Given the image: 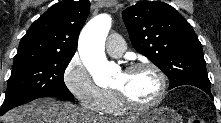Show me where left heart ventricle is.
Wrapping results in <instances>:
<instances>
[{"instance_id": "b2bd125f", "label": "left heart ventricle", "mask_w": 221, "mask_h": 123, "mask_svg": "<svg viewBox=\"0 0 221 123\" xmlns=\"http://www.w3.org/2000/svg\"><path fill=\"white\" fill-rule=\"evenodd\" d=\"M124 91L136 103L146 104L153 101L159 92V80L149 69L138 70L129 74L120 72L112 85Z\"/></svg>"}]
</instances>
